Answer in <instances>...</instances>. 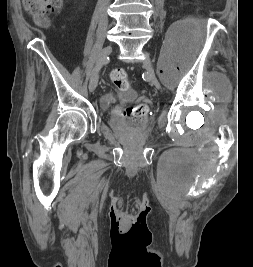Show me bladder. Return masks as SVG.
<instances>
[{
  "mask_svg": "<svg viewBox=\"0 0 253 267\" xmlns=\"http://www.w3.org/2000/svg\"><path fill=\"white\" fill-rule=\"evenodd\" d=\"M135 98V92L130 88H119L115 91H107L101 97V104L108 106L118 100H132Z\"/></svg>",
  "mask_w": 253,
  "mask_h": 267,
  "instance_id": "obj_1",
  "label": "bladder"
}]
</instances>
